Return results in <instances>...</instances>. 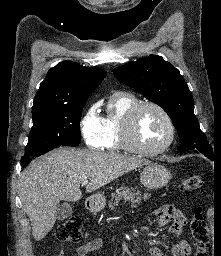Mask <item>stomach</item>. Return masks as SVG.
I'll return each mask as SVG.
<instances>
[{
	"label": "stomach",
	"mask_w": 221,
	"mask_h": 256,
	"mask_svg": "<svg viewBox=\"0 0 221 256\" xmlns=\"http://www.w3.org/2000/svg\"><path fill=\"white\" fill-rule=\"evenodd\" d=\"M171 179L170 171L156 163L146 165L140 174L141 183L148 189H160L166 186ZM106 199L101 194H95L89 199V209L93 212L101 211Z\"/></svg>",
	"instance_id": "obj_1"
}]
</instances>
